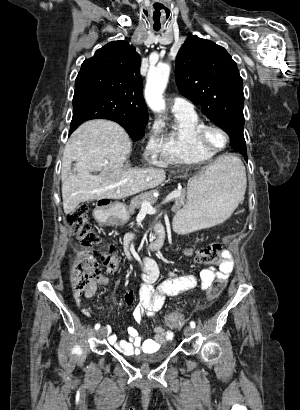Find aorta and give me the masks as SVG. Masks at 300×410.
<instances>
[{
	"label": "aorta",
	"mask_w": 300,
	"mask_h": 410,
	"mask_svg": "<svg viewBox=\"0 0 300 410\" xmlns=\"http://www.w3.org/2000/svg\"><path fill=\"white\" fill-rule=\"evenodd\" d=\"M170 70L168 63H162L150 70L147 75L145 99L154 112L160 113L165 110L163 93L169 80Z\"/></svg>",
	"instance_id": "aorta-1"
}]
</instances>
